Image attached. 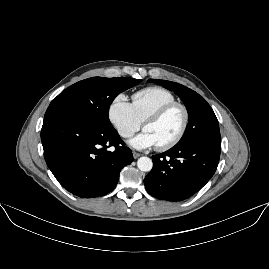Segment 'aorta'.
Returning a JSON list of instances; mask_svg holds the SVG:
<instances>
[{"mask_svg": "<svg viewBox=\"0 0 269 269\" xmlns=\"http://www.w3.org/2000/svg\"><path fill=\"white\" fill-rule=\"evenodd\" d=\"M137 167L142 172H150L153 168V161L149 157H140L137 161Z\"/></svg>", "mask_w": 269, "mask_h": 269, "instance_id": "aorta-1", "label": "aorta"}]
</instances>
